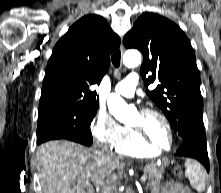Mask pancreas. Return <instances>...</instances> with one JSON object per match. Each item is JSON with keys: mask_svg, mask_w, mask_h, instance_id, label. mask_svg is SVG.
Instances as JSON below:
<instances>
[{"mask_svg": "<svg viewBox=\"0 0 221 193\" xmlns=\"http://www.w3.org/2000/svg\"><path fill=\"white\" fill-rule=\"evenodd\" d=\"M144 174L147 176L148 187L159 184L163 179L164 167H158L155 164L147 165L144 168Z\"/></svg>", "mask_w": 221, "mask_h": 193, "instance_id": "cf45deb5", "label": "pancreas"}]
</instances>
